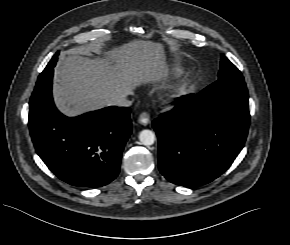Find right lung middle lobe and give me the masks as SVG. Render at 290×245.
Wrapping results in <instances>:
<instances>
[{
  "label": "right lung middle lobe",
  "instance_id": "right-lung-middle-lobe-1",
  "mask_svg": "<svg viewBox=\"0 0 290 245\" xmlns=\"http://www.w3.org/2000/svg\"><path fill=\"white\" fill-rule=\"evenodd\" d=\"M58 54H59V52H57V53L53 56V58H52L51 61L48 63V65L46 66L45 69L53 68V67L55 66L56 61H57Z\"/></svg>",
  "mask_w": 290,
  "mask_h": 245
}]
</instances>
